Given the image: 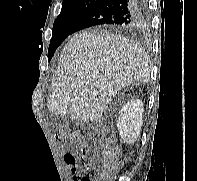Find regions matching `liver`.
Returning <instances> with one entry per match:
<instances>
[{
  "label": "liver",
  "mask_w": 197,
  "mask_h": 181,
  "mask_svg": "<svg viewBox=\"0 0 197 181\" xmlns=\"http://www.w3.org/2000/svg\"><path fill=\"white\" fill-rule=\"evenodd\" d=\"M149 80V56L136 43L113 33L83 31L63 48L47 106L52 113L94 122L120 90Z\"/></svg>",
  "instance_id": "1"
}]
</instances>
